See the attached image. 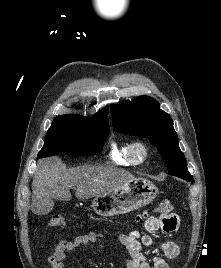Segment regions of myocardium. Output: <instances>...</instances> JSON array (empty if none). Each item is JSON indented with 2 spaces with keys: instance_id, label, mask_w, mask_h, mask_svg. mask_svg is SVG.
Here are the masks:
<instances>
[{
  "instance_id": "f54148a6",
  "label": "myocardium",
  "mask_w": 221,
  "mask_h": 268,
  "mask_svg": "<svg viewBox=\"0 0 221 268\" xmlns=\"http://www.w3.org/2000/svg\"><path fill=\"white\" fill-rule=\"evenodd\" d=\"M149 147L143 141H134L130 144L129 155L135 164H143L149 158Z\"/></svg>"
}]
</instances>
